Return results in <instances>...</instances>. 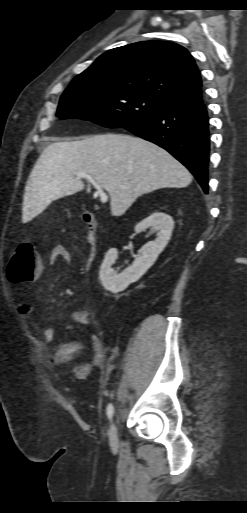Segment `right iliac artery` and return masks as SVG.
Listing matches in <instances>:
<instances>
[{
    "mask_svg": "<svg viewBox=\"0 0 247 513\" xmlns=\"http://www.w3.org/2000/svg\"><path fill=\"white\" fill-rule=\"evenodd\" d=\"M106 412H107L108 418L111 419L113 417V412H114V408H113L112 404H109L107 406Z\"/></svg>",
    "mask_w": 247,
    "mask_h": 513,
    "instance_id": "obj_1",
    "label": "right iliac artery"
}]
</instances>
